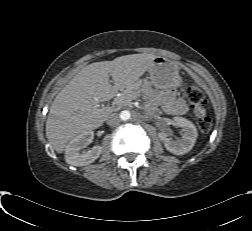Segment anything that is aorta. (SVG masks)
<instances>
[{
	"label": "aorta",
	"mask_w": 252,
	"mask_h": 231,
	"mask_svg": "<svg viewBox=\"0 0 252 231\" xmlns=\"http://www.w3.org/2000/svg\"><path fill=\"white\" fill-rule=\"evenodd\" d=\"M130 117H131V113H130V111H128V110H124V111H122V112L120 113V118H121V120H123V121L129 120Z\"/></svg>",
	"instance_id": "1"
}]
</instances>
